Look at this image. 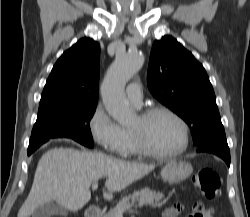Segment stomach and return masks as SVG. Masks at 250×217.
Here are the masks:
<instances>
[{
  "label": "stomach",
  "instance_id": "obj_1",
  "mask_svg": "<svg viewBox=\"0 0 250 217\" xmlns=\"http://www.w3.org/2000/svg\"><path fill=\"white\" fill-rule=\"evenodd\" d=\"M193 171L190 163L186 161H170L161 171V177L169 183H179L187 179Z\"/></svg>",
  "mask_w": 250,
  "mask_h": 217
}]
</instances>
